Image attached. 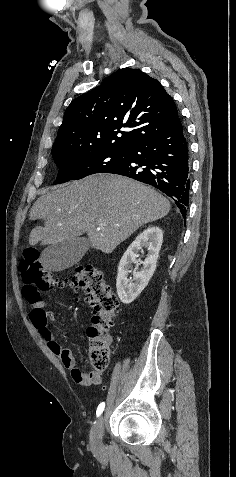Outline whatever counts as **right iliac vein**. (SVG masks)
I'll use <instances>...</instances> for the list:
<instances>
[{"instance_id":"63e3f726","label":"right iliac vein","mask_w":236,"mask_h":477,"mask_svg":"<svg viewBox=\"0 0 236 477\" xmlns=\"http://www.w3.org/2000/svg\"><path fill=\"white\" fill-rule=\"evenodd\" d=\"M104 422H105V417L101 416L91 430L90 444H91L92 450L96 454L102 452L104 448L103 442H102Z\"/></svg>"}]
</instances>
